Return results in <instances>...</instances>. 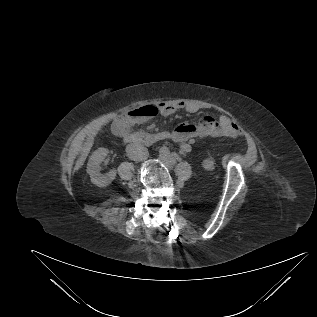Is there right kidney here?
<instances>
[{
	"instance_id": "obj_1",
	"label": "right kidney",
	"mask_w": 317,
	"mask_h": 317,
	"mask_svg": "<svg viewBox=\"0 0 317 317\" xmlns=\"http://www.w3.org/2000/svg\"><path fill=\"white\" fill-rule=\"evenodd\" d=\"M106 148H98L89 157L87 163V173L90 175L91 182L99 187L109 185L116 177V170H111L107 174H101L99 164L107 156Z\"/></svg>"
}]
</instances>
